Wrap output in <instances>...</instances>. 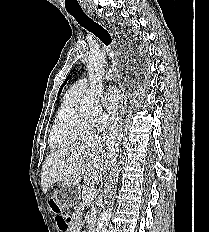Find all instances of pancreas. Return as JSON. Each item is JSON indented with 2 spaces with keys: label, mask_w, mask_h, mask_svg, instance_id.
<instances>
[{
  "label": "pancreas",
  "mask_w": 209,
  "mask_h": 232,
  "mask_svg": "<svg viewBox=\"0 0 209 232\" xmlns=\"http://www.w3.org/2000/svg\"><path fill=\"white\" fill-rule=\"evenodd\" d=\"M88 190H89L88 187H85V186L83 187V190H82V193H81L83 202H85V196H86ZM94 213H95V212H93L92 215H93Z\"/></svg>",
  "instance_id": "obj_1"
}]
</instances>
